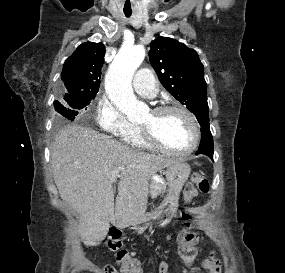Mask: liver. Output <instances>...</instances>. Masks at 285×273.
Masks as SVG:
<instances>
[{
  "mask_svg": "<svg viewBox=\"0 0 285 273\" xmlns=\"http://www.w3.org/2000/svg\"><path fill=\"white\" fill-rule=\"evenodd\" d=\"M177 160L130 149L80 125L55 136L51 166L61 199L79 213V234L86 246L102 241L110 228L127 227L146 217L151 176ZM120 170L118 194L111 172Z\"/></svg>",
  "mask_w": 285,
  "mask_h": 273,
  "instance_id": "6515ba94",
  "label": "liver"
}]
</instances>
